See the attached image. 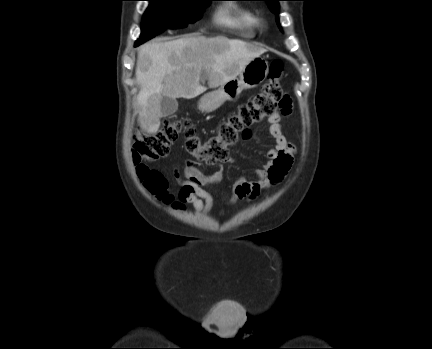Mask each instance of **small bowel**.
Listing matches in <instances>:
<instances>
[{
  "label": "small bowel",
  "instance_id": "small-bowel-1",
  "mask_svg": "<svg viewBox=\"0 0 432 349\" xmlns=\"http://www.w3.org/2000/svg\"><path fill=\"white\" fill-rule=\"evenodd\" d=\"M288 113L290 108L268 118L269 131L275 145L268 150L266 161L255 170V180H249L244 176L236 180L235 198L257 195L261 189L279 183L290 170L295 149L285 137L280 124L281 115ZM174 175L181 185L179 193L181 201L191 204L198 214L209 213L214 205V198L204 187L217 184L222 179L221 170L207 175L203 173L197 162L188 160L183 169L174 171Z\"/></svg>",
  "mask_w": 432,
  "mask_h": 349
}]
</instances>
